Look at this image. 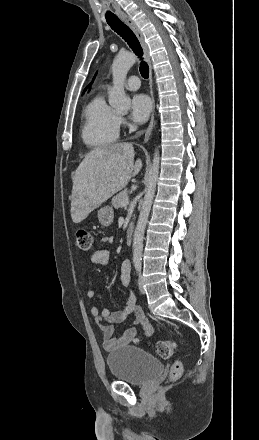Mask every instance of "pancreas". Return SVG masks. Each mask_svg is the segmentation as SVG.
I'll list each match as a JSON object with an SVG mask.
<instances>
[{
    "label": "pancreas",
    "mask_w": 259,
    "mask_h": 440,
    "mask_svg": "<svg viewBox=\"0 0 259 440\" xmlns=\"http://www.w3.org/2000/svg\"><path fill=\"white\" fill-rule=\"evenodd\" d=\"M125 199H128V190L127 189L121 191L120 193H118L117 195H115L113 197L112 205L114 206V208L119 209L120 207H122L121 202Z\"/></svg>",
    "instance_id": "cf45deb5"
}]
</instances>
